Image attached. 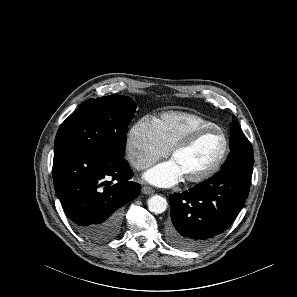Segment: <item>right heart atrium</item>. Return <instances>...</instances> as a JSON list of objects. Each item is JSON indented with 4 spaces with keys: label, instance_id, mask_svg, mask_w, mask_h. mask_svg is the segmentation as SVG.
Segmentation results:
<instances>
[{
    "label": "right heart atrium",
    "instance_id": "obj_1",
    "mask_svg": "<svg viewBox=\"0 0 297 297\" xmlns=\"http://www.w3.org/2000/svg\"><path fill=\"white\" fill-rule=\"evenodd\" d=\"M125 150L131 166L136 170L150 167L168 153V150L159 142L153 122L149 119H141L129 129Z\"/></svg>",
    "mask_w": 297,
    "mask_h": 297
}]
</instances>
